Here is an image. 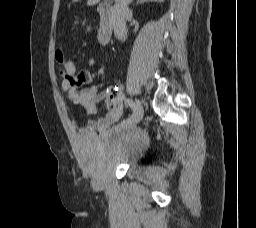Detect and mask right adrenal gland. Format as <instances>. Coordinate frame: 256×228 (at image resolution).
<instances>
[{
  "label": "right adrenal gland",
  "mask_w": 256,
  "mask_h": 228,
  "mask_svg": "<svg viewBox=\"0 0 256 228\" xmlns=\"http://www.w3.org/2000/svg\"><path fill=\"white\" fill-rule=\"evenodd\" d=\"M142 2H143V0H138V1H137V4H138V3H142Z\"/></svg>",
  "instance_id": "1"
}]
</instances>
